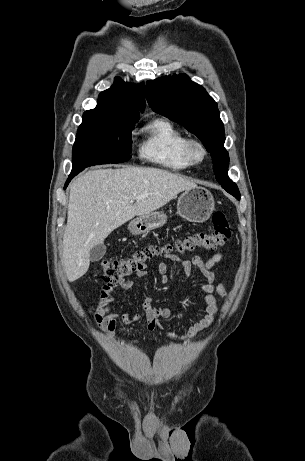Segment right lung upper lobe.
Here are the masks:
<instances>
[{"mask_svg":"<svg viewBox=\"0 0 305 461\" xmlns=\"http://www.w3.org/2000/svg\"><path fill=\"white\" fill-rule=\"evenodd\" d=\"M145 103L144 84L125 83L117 78L111 88L99 95L96 108L84 112V116L120 120H139Z\"/></svg>","mask_w":305,"mask_h":461,"instance_id":"1","label":"right lung upper lobe"}]
</instances>
